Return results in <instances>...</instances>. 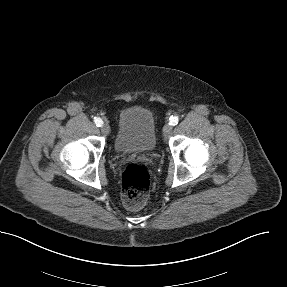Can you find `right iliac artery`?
<instances>
[{
  "label": "right iliac artery",
  "mask_w": 287,
  "mask_h": 287,
  "mask_svg": "<svg viewBox=\"0 0 287 287\" xmlns=\"http://www.w3.org/2000/svg\"><path fill=\"white\" fill-rule=\"evenodd\" d=\"M94 122H95V124H96L98 127L102 126V124H103L102 119L99 118V117H95V118H94Z\"/></svg>",
  "instance_id": "right-iliac-artery-1"
}]
</instances>
